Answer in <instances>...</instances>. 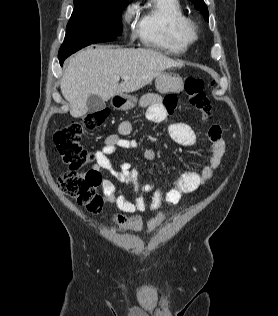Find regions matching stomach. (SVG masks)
<instances>
[{"mask_svg": "<svg viewBox=\"0 0 278 316\" xmlns=\"http://www.w3.org/2000/svg\"><path fill=\"white\" fill-rule=\"evenodd\" d=\"M155 86L159 93H178L183 89V80L176 73L161 72L155 80ZM137 99L127 94H119L112 97L111 104L117 110H129L135 107Z\"/></svg>", "mask_w": 278, "mask_h": 316, "instance_id": "1", "label": "stomach"}]
</instances>
